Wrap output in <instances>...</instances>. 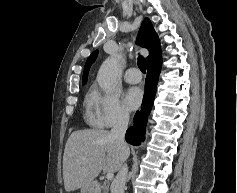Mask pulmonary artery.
<instances>
[{
  "label": "pulmonary artery",
  "instance_id": "1",
  "mask_svg": "<svg viewBox=\"0 0 237 193\" xmlns=\"http://www.w3.org/2000/svg\"><path fill=\"white\" fill-rule=\"evenodd\" d=\"M125 81L128 83H139L142 79L141 73L139 70L135 67L129 68L125 75H124Z\"/></svg>",
  "mask_w": 237,
  "mask_h": 193
}]
</instances>
